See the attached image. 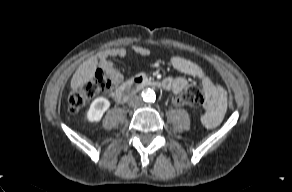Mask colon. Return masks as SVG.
<instances>
[{
	"instance_id": "colon-1",
	"label": "colon",
	"mask_w": 292,
	"mask_h": 192,
	"mask_svg": "<svg viewBox=\"0 0 292 192\" xmlns=\"http://www.w3.org/2000/svg\"><path fill=\"white\" fill-rule=\"evenodd\" d=\"M111 84L110 75L104 69H98L92 79L69 93V112L77 113L90 99L108 90ZM173 102L177 105L200 106L205 103V96L200 88L192 86L173 97Z\"/></svg>"
}]
</instances>
